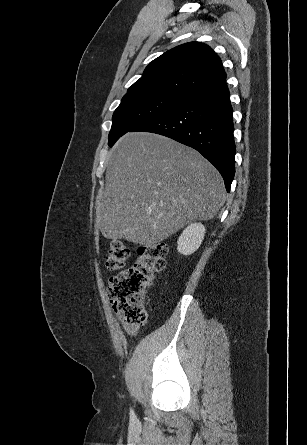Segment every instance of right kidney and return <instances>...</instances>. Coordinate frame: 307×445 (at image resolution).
Segmentation results:
<instances>
[{"mask_svg":"<svg viewBox=\"0 0 307 445\" xmlns=\"http://www.w3.org/2000/svg\"><path fill=\"white\" fill-rule=\"evenodd\" d=\"M206 229L201 223H193L183 231L178 239V251L181 255H192L199 249Z\"/></svg>","mask_w":307,"mask_h":445,"instance_id":"ca27d5eb","label":"right kidney"}]
</instances>
